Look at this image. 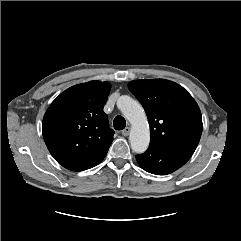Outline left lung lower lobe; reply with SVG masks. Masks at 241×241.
Listing matches in <instances>:
<instances>
[{"label": "left lung lower lobe", "mask_w": 241, "mask_h": 241, "mask_svg": "<svg viewBox=\"0 0 241 241\" xmlns=\"http://www.w3.org/2000/svg\"><path fill=\"white\" fill-rule=\"evenodd\" d=\"M194 149L150 143L149 149L136 160L145 171L156 175L170 174L183 166L194 153Z\"/></svg>", "instance_id": "obj_1"}]
</instances>
